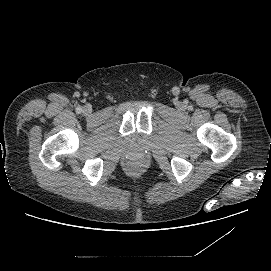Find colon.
<instances>
[{"mask_svg":"<svg viewBox=\"0 0 271 271\" xmlns=\"http://www.w3.org/2000/svg\"><path fill=\"white\" fill-rule=\"evenodd\" d=\"M131 171L136 172V171H138V168L136 166H133V167H131Z\"/></svg>","mask_w":271,"mask_h":271,"instance_id":"colon-1","label":"colon"}]
</instances>
